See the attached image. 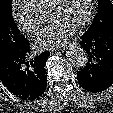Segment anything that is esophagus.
Segmentation results:
<instances>
[{
  "instance_id": "obj_1",
  "label": "esophagus",
  "mask_w": 113,
  "mask_h": 113,
  "mask_svg": "<svg viewBox=\"0 0 113 113\" xmlns=\"http://www.w3.org/2000/svg\"><path fill=\"white\" fill-rule=\"evenodd\" d=\"M76 44H77L76 41L66 42V43L62 44V45L59 47V49H65V48H67V47H70V46L76 45Z\"/></svg>"
}]
</instances>
